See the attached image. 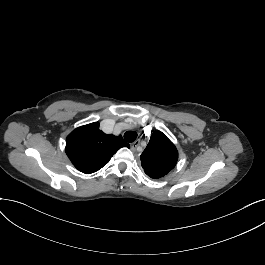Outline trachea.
Returning <instances> with one entry per match:
<instances>
[{
    "instance_id": "1",
    "label": "trachea",
    "mask_w": 265,
    "mask_h": 265,
    "mask_svg": "<svg viewBox=\"0 0 265 265\" xmlns=\"http://www.w3.org/2000/svg\"><path fill=\"white\" fill-rule=\"evenodd\" d=\"M124 138L127 142H133L137 138V133L134 131H127L124 134Z\"/></svg>"
}]
</instances>
